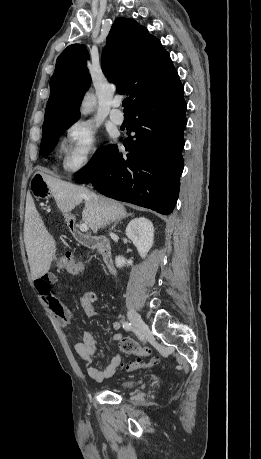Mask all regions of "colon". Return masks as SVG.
Wrapping results in <instances>:
<instances>
[{
  "label": "colon",
  "instance_id": "obj_1",
  "mask_svg": "<svg viewBox=\"0 0 261 459\" xmlns=\"http://www.w3.org/2000/svg\"><path fill=\"white\" fill-rule=\"evenodd\" d=\"M55 267L57 270L67 272L71 275H78L83 271L82 261L78 260L69 253L57 257L55 260ZM95 298V294L91 291L84 295V300L89 304H93ZM119 349L123 353L134 354L139 358H144L151 355V349L149 347L141 346L131 338H123L119 343ZM157 364H159L158 360L143 362L138 359L130 363H122L121 366L126 371H134L142 368H152Z\"/></svg>",
  "mask_w": 261,
  "mask_h": 459
}]
</instances>
